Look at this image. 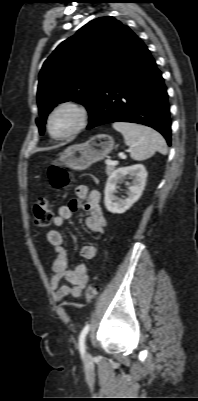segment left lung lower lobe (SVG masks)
Returning <instances> with one entry per match:
<instances>
[{
    "mask_svg": "<svg viewBox=\"0 0 198 401\" xmlns=\"http://www.w3.org/2000/svg\"><path fill=\"white\" fill-rule=\"evenodd\" d=\"M89 115L87 129L117 121L139 123L154 128L171 144L166 87L138 37L105 81Z\"/></svg>",
    "mask_w": 198,
    "mask_h": 401,
    "instance_id": "1",
    "label": "left lung lower lobe"
}]
</instances>
